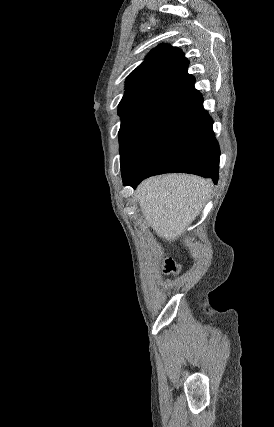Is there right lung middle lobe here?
<instances>
[{
    "instance_id": "1",
    "label": "right lung middle lobe",
    "mask_w": 274,
    "mask_h": 427,
    "mask_svg": "<svg viewBox=\"0 0 274 427\" xmlns=\"http://www.w3.org/2000/svg\"><path fill=\"white\" fill-rule=\"evenodd\" d=\"M173 107L160 99H150L119 108L121 167L136 163Z\"/></svg>"
}]
</instances>
